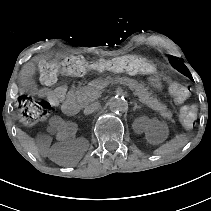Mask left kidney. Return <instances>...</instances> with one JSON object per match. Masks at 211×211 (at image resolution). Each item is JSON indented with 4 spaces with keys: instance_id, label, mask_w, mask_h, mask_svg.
Listing matches in <instances>:
<instances>
[{
    "instance_id": "5707ae66",
    "label": "left kidney",
    "mask_w": 211,
    "mask_h": 211,
    "mask_svg": "<svg viewBox=\"0 0 211 211\" xmlns=\"http://www.w3.org/2000/svg\"><path fill=\"white\" fill-rule=\"evenodd\" d=\"M146 126H147V127H148V126H151V120H149V122H147ZM149 143H151V142H149Z\"/></svg>"
}]
</instances>
